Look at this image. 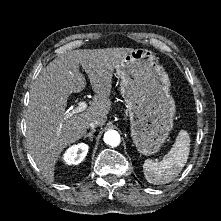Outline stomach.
I'll return each mask as SVG.
<instances>
[{
  "label": "stomach",
  "instance_id": "1",
  "mask_svg": "<svg viewBox=\"0 0 221 221\" xmlns=\"http://www.w3.org/2000/svg\"><path fill=\"white\" fill-rule=\"evenodd\" d=\"M115 69L129 111L133 143L141 154L153 155L173 128L175 102L168 74L151 50L141 48L128 53Z\"/></svg>",
  "mask_w": 221,
  "mask_h": 221
}]
</instances>
